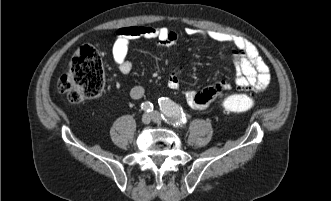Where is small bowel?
<instances>
[{
    "instance_id": "c3829d8e",
    "label": "small bowel",
    "mask_w": 331,
    "mask_h": 201,
    "mask_svg": "<svg viewBox=\"0 0 331 201\" xmlns=\"http://www.w3.org/2000/svg\"><path fill=\"white\" fill-rule=\"evenodd\" d=\"M186 34L190 36H201L219 43L232 46V58L235 65L234 85L239 91L261 92L270 84V71L267 64L260 56L257 48L247 39L215 30H198L187 28ZM154 39L158 45L169 47L178 40V34L167 27L152 26H130L120 28L112 46V58L123 74L132 71L133 64L128 59L129 45L136 39ZM182 69L172 71L168 76V86L172 89L180 88V75ZM231 84L220 80L213 82L201 90H185L186 101L192 108L202 110L222 92L229 90ZM132 99L138 100L144 95V88L133 85L129 89Z\"/></svg>"
}]
</instances>
